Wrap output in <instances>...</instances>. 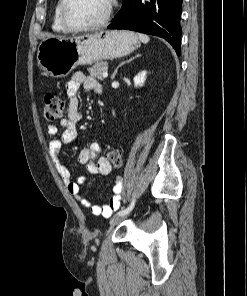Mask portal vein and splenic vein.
<instances>
[{
  "label": "portal vein and splenic vein",
  "mask_w": 247,
  "mask_h": 296,
  "mask_svg": "<svg viewBox=\"0 0 247 296\" xmlns=\"http://www.w3.org/2000/svg\"><path fill=\"white\" fill-rule=\"evenodd\" d=\"M102 77H103V78H107V77H108V72H107V71H104V72L102 73Z\"/></svg>",
  "instance_id": "18ae733b"
}]
</instances>
